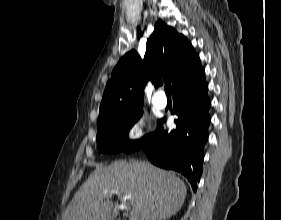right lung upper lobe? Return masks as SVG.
I'll use <instances>...</instances> for the list:
<instances>
[{
	"instance_id": "cb5924a9",
	"label": "right lung upper lobe",
	"mask_w": 281,
	"mask_h": 220,
	"mask_svg": "<svg viewBox=\"0 0 281 220\" xmlns=\"http://www.w3.org/2000/svg\"><path fill=\"white\" fill-rule=\"evenodd\" d=\"M143 67L144 74L142 61L135 50L119 60L103 94L98 124L142 109L147 80L157 87L158 79L163 76L165 82H172L174 92L205 77L199 56L190 42L162 20H158L147 41Z\"/></svg>"
}]
</instances>
